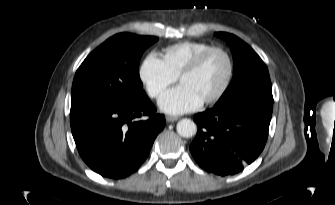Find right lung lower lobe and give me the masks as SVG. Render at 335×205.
Wrapping results in <instances>:
<instances>
[{"label": "right lung lower lobe", "mask_w": 335, "mask_h": 205, "mask_svg": "<svg viewBox=\"0 0 335 205\" xmlns=\"http://www.w3.org/2000/svg\"><path fill=\"white\" fill-rule=\"evenodd\" d=\"M142 116L148 119L139 120ZM70 124L84 162L104 177L120 179L145 161L165 117L144 95L132 102L71 106Z\"/></svg>", "instance_id": "right-lung-lower-lobe-1"}]
</instances>
